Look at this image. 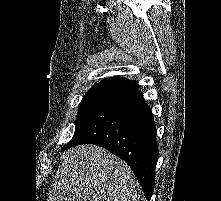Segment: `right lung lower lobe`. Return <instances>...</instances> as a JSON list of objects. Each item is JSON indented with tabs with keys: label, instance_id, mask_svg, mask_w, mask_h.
Here are the masks:
<instances>
[{
	"label": "right lung lower lobe",
	"instance_id": "98d812e1",
	"mask_svg": "<svg viewBox=\"0 0 221 201\" xmlns=\"http://www.w3.org/2000/svg\"><path fill=\"white\" fill-rule=\"evenodd\" d=\"M84 143L102 146L124 160L150 201L158 160L156 127L136 82L118 89L62 150Z\"/></svg>",
	"mask_w": 221,
	"mask_h": 201
}]
</instances>
